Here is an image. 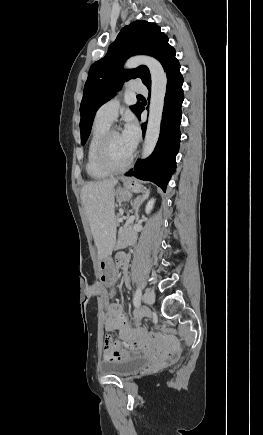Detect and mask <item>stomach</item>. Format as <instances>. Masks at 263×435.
<instances>
[{"label":"stomach","mask_w":263,"mask_h":435,"mask_svg":"<svg viewBox=\"0 0 263 435\" xmlns=\"http://www.w3.org/2000/svg\"><path fill=\"white\" fill-rule=\"evenodd\" d=\"M123 186H118L114 192L116 199L119 202L126 201L131 198L132 193H139L142 190V186L133 181L132 179L123 178ZM101 270V281L104 288H109L110 297L117 299L120 293L119 271L117 268H113V265L108 257L102 259L99 263Z\"/></svg>","instance_id":"0dacf381"}]
</instances>
